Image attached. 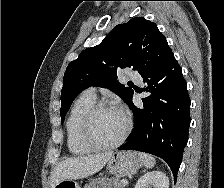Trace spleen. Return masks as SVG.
<instances>
[{"mask_svg":"<svg viewBox=\"0 0 224 188\" xmlns=\"http://www.w3.org/2000/svg\"><path fill=\"white\" fill-rule=\"evenodd\" d=\"M139 157L140 159L142 160V163L144 164V166L148 169V168H152L156 161H155V158L152 157L151 155L149 154H146V153H139Z\"/></svg>","mask_w":224,"mask_h":188,"instance_id":"3e777b00","label":"spleen"}]
</instances>
